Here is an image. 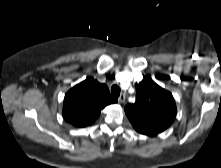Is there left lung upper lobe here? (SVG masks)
Returning <instances> with one entry per match:
<instances>
[{
  "label": "left lung upper lobe",
  "mask_w": 221,
  "mask_h": 168,
  "mask_svg": "<svg viewBox=\"0 0 221 168\" xmlns=\"http://www.w3.org/2000/svg\"><path fill=\"white\" fill-rule=\"evenodd\" d=\"M125 113L137 132L155 136L173 123L177 110L172 94L150 76H143L137 86L136 102L126 105Z\"/></svg>",
  "instance_id": "1"
}]
</instances>
